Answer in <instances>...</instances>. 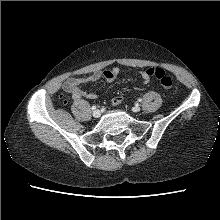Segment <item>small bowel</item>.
<instances>
[{
    "label": "small bowel",
    "instance_id": "small-bowel-1",
    "mask_svg": "<svg viewBox=\"0 0 220 220\" xmlns=\"http://www.w3.org/2000/svg\"><path fill=\"white\" fill-rule=\"evenodd\" d=\"M119 74L120 71L118 68H112L104 71H96L88 76L70 77L64 82L63 89L70 93L74 99H80L82 97L95 99L97 95L94 92L83 90L81 86L87 83L96 82L100 79H105L108 82H112L118 78ZM141 77L145 84L150 81V77L147 76L145 71L141 72ZM121 101V97H115L113 98L112 103L114 105H118L121 103Z\"/></svg>",
    "mask_w": 220,
    "mask_h": 220
}]
</instances>
